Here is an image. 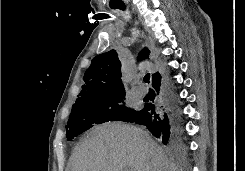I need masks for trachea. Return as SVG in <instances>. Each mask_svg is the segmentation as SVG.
<instances>
[{
  "label": "trachea",
  "instance_id": "1",
  "mask_svg": "<svg viewBox=\"0 0 245 171\" xmlns=\"http://www.w3.org/2000/svg\"><path fill=\"white\" fill-rule=\"evenodd\" d=\"M116 1H121V0H116ZM113 9H120V10H125V5L123 2H118V3H115L113 6H112ZM149 80H150V74H146L144 76V82L146 83H149Z\"/></svg>",
  "mask_w": 245,
  "mask_h": 171
}]
</instances>
